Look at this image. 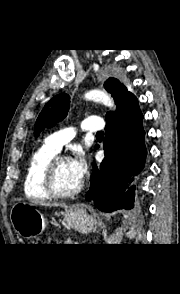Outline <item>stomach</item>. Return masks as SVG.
Listing matches in <instances>:
<instances>
[{
	"mask_svg": "<svg viewBox=\"0 0 180 294\" xmlns=\"http://www.w3.org/2000/svg\"><path fill=\"white\" fill-rule=\"evenodd\" d=\"M10 217L16 233L24 239L38 237L46 227L43 215L30 203H15L11 209ZM64 221L69 227L82 233L93 231L97 223L92 215L79 207L66 209Z\"/></svg>",
	"mask_w": 180,
	"mask_h": 294,
	"instance_id": "stomach-1",
	"label": "stomach"
}]
</instances>
